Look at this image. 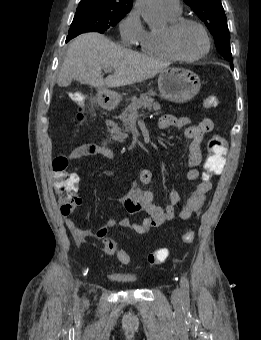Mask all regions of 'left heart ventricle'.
Returning <instances> with one entry per match:
<instances>
[{
    "instance_id": "left-heart-ventricle-1",
    "label": "left heart ventricle",
    "mask_w": 261,
    "mask_h": 340,
    "mask_svg": "<svg viewBox=\"0 0 261 340\" xmlns=\"http://www.w3.org/2000/svg\"><path fill=\"white\" fill-rule=\"evenodd\" d=\"M176 46L182 55L196 56L204 50L205 39L197 26L186 24L176 35Z\"/></svg>"
}]
</instances>
